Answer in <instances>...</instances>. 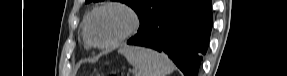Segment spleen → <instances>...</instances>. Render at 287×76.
<instances>
[{"label":"spleen","instance_id":"spleen-1","mask_svg":"<svg viewBox=\"0 0 287 76\" xmlns=\"http://www.w3.org/2000/svg\"><path fill=\"white\" fill-rule=\"evenodd\" d=\"M119 53L138 69L136 76H167L174 71V65L166 55L151 49L124 46Z\"/></svg>","mask_w":287,"mask_h":76}]
</instances>
